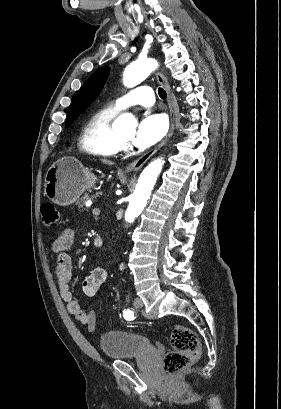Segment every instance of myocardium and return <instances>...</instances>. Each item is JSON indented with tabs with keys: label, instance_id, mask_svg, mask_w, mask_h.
I'll list each match as a JSON object with an SVG mask.
<instances>
[{
	"label": "myocardium",
	"instance_id": "obj_1",
	"mask_svg": "<svg viewBox=\"0 0 281 409\" xmlns=\"http://www.w3.org/2000/svg\"><path fill=\"white\" fill-rule=\"evenodd\" d=\"M112 142L116 153H126L132 149V146L127 144L114 128L112 129Z\"/></svg>",
	"mask_w": 281,
	"mask_h": 409
}]
</instances>
